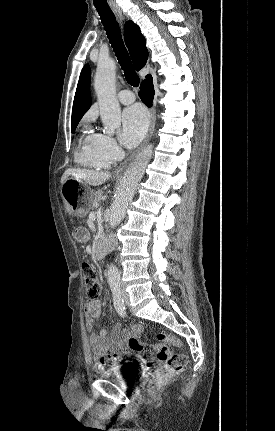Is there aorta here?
I'll use <instances>...</instances> for the list:
<instances>
[{"label":"aorta","mask_w":275,"mask_h":431,"mask_svg":"<svg viewBox=\"0 0 275 431\" xmlns=\"http://www.w3.org/2000/svg\"><path fill=\"white\" fill-rule=\"evenodd\" d=\"M115 63L108 59L100 61L95 75V91L100 107V117L107 134L113 135L121 125V109L115 91ZM152 156V146L146 147L129 165L110 209L109 225L116 227L124 218L128 205L131 203L138 183ZM108 281L111 284L120 281L118 268L111 264L107 269Z\"/></svg>","instance_id":"762f6f07"}]
</instances>
